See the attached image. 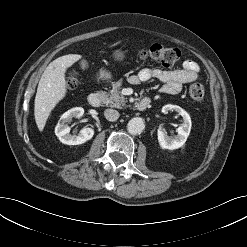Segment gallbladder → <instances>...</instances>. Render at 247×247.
<instances>
[{
  "instance_id": "bac80fb5",
  "label": "gallbladder",
  "mask_w": 247,
  "mask_h": 247,
  "mask_svg": "<svg viewBox=\"0 0 247 247\" xmlns=\"http://www.w3.org/2000/svg\"><path fill=\"white\" fill-rule=\"evenodd\" d=\"M79 64H80V68L82 70H86L89 67V64H88L87 60H84V59L81 60Z\"/></svg>"
}]
</instances>
